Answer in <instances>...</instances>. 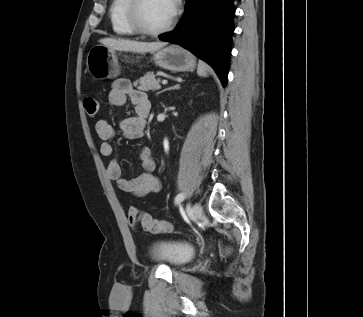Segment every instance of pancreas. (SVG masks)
I'll return each instance as SVG.
<instances>
[{
    "label": "pancreas",
    "mask_w": 363,
    "mask_h": 317,
    "mask_svg": "<svg viewBox=\"0 0 363 317\" xmlns=\"http://www.w3.org/2000/svg\"><path fill=\"white\" fill-rule=\"evenodd\" d=\"M156 75L153 72L146 73L139 80H136L133 84L139 90L149 91V90H158L160 89V79L155 78ZM139 84V86H137Z\"/></svg>",
    "instance_id": "pancreas-1"
}]
</instances>
